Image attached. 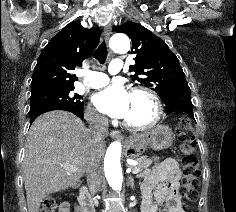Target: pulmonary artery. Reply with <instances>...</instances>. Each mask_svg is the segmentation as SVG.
<instances>
[{
    "instance_id": "e3ab8cb5",
    "label": "pulmonary artery",
    "mask_w": 236,
    "mask_h": 212,
    "mask_svg": "<svg viewBox=\"0 0 236 212\" xmlns=\"http://www.w3.org/2000/svg\"><path fill=\"white\" fill-rule=\"evenodd\" d=\"M122 61L120 59H115L114 61L111 62L109 66V72L110 74H116L122 69ZM89 76V86L92 88H100L105 86L109 78L105 73L102 72H90L88 74Z\"/></svg>"
}]
</instances>
